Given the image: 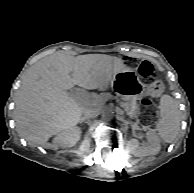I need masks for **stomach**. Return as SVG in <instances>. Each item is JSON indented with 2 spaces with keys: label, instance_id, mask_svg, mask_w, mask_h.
<instances>
[{
  "label": "stomach",
  "instance_id": "0dacf381",
  "mask_svg": "<svg viewBox=\"0 0 194 193\" xmlns=\"http://www.w3.org/2000/svg\"><path fill=\"white\" fill-rule=\"evenodd\" d=\"M110 84L119 93L134 99L143 96L159 97L165 89L164 83L161 80H155L151 84L142 83L134 70L119 71L114 75Z\"/></svg>",
  "mask_w": 194,
  "mask_h": 193
}]
</instances>
